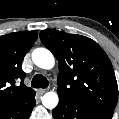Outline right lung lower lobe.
Returning <instances> with one entry per match:
<instances>
[{
	"label": "right lung lower lobe",
	"instance_id": "98d812e1",
	"mask_svg": "<svg viewBox=\"0 0 119 119\" xmlns=\"http://www.w3.org/2000/svg\"><path fill=\"white\" fill-rule=\"evenodd\" d=\"M35 92L21 100L0 106V119H28L35 106Z\"/></svg>",
	"mask_w": 119,
	"mask_h": 119
}]
</instances>
